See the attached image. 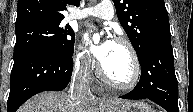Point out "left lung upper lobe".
I'll list each match as a JSON object with an SVG mask.
<instances>
[{"label":"left lung upper lobe","mask_w":193,"mask_h":112,"mask_svg":"<svg viewBox=\"0 0 193 112\" xmlns=\"http://www.w3.org/2000/svg\"><path fill=\"white\" fill-rule=\"evenodd\" d=\"M117 17L138 59L157 40L171 36L164 0H113Z\"/></svg>","instance_id":"obj_1"}]
</instances>
